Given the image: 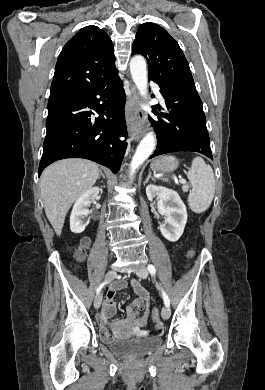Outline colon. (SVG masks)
Wrapping results in <instances>:
<instances>
[{
  "label": "colon",
  "instance_id": "1",
  "mask_svg": "<svg viewBox=\"0 0 265 390\" xmlns=\"http://www.w3.org/2000/svg\"><path fill=\"white\" fill-rule=\"evenodd\" d=\"M88 245V240L84 239L79 246V248L75 251V255L77 260L81 261L85 256V247ZM152 318L157 326H160V313L157 308L152 310Z\"/></svg>",
  "mask_w": 265,
  "mask_h": 390
}]
</instances>
